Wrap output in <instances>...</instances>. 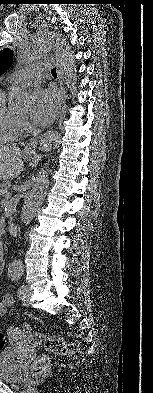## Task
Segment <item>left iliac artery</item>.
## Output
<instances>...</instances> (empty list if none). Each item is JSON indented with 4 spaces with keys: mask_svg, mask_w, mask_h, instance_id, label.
<instances>
[{
    "mask_svg": "<svg viewBox=\"0 0 153 393\" xmlns=\"http://www.w3.org/2000/svg\"><path fill=\"white\" fill-rule=\"evenodd\" d=\"M20 274H16V273H10L9 274V277L12 279V280H19L20 279ZM25 288V286L24 285H22V286H20V288L18 289V295L19 296H21L22 294H23V289Z\"/></svg>",
    "mask_w": 153,
    "mask_h": 393,
    "instance_id": "44dca946",
    "label": "left iliac artery"
}]
</instances>
